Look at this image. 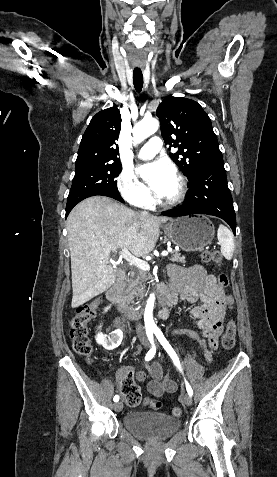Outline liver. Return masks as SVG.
Returning a JSON list of instances; mask_svg holds the SVG:
<instances>
[{
    "label": "liver",
    "mask_w": 277,
    "mask_h": 477,
    "mask_svg": "<svg viewBox=\"0 0 277 477\" xmlns=\"http://www.w3.org/2000/svg\"><path fill=\"white\" fill-rule=\"evenodd\" d=\"M167 217L142 216L114 200L93 196L76 205L67 218L73 297L76 308L105 292L115 282L110 253L128 248L145 256L155 247Z\"/></svg>",
    "instance_id": "obj_1"
}]
</instances>
